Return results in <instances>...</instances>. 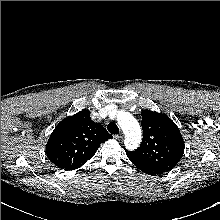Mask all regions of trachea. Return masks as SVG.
<instances>
[{
	"label": "trachea",
	"mask_w": 220,
	"mask_h": 220,
	"mask_svg": "<svg viewBox=\"0 0 220 220\" xmlns=\"http://www.w3.org/2000/svg\"><path fill=\"white\" fill-rule=\"evenodd\" d=\"M108 131L111 133V134H117L119 133V128L116 124L114 123H110L107 127Z\"/></svg>",
	"instance_id": "obj_1"
}]
</instances>
